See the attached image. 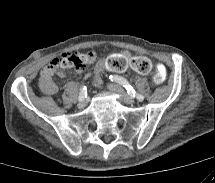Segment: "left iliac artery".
Here are the masks:
<instances>
[{"label": "left iliac artery", "instance_id": "obj_1", "mask_svg": "<svg viewBox=\"0 0 215 183\" xmlns=\"http://www.w3.org/2000/svg\"><path fill=\"white\" fill-rule=\"evenodd\" d=\"M109 79L111 81H113V82H116V83L122 85L126 89L127 93L130 96L136 97L139 101H143L144 100V97L141 94L137 93L133 89V87L127 82L126 79H124V78H122L120 76H117V75H110Z\"/></svg>", "mask_w": 215, "mask_h": 183}]
</instances>
